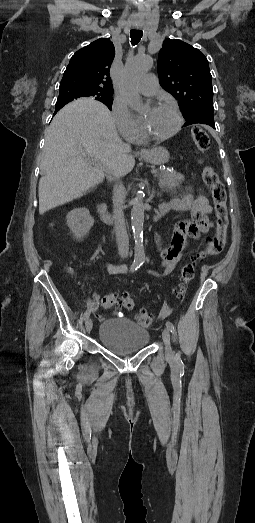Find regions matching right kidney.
I'll return each mask as SVG.
<instances>
[{
  "label": "right kidney",
  "mask_w": 255,
  "mask_h": 523,
  "mask_svg": "<svg viewBox=\"0 0 255 523\" xmlns=\"http://www.w3.org/2000/svg\"><path fill=\"white\" fill-rule=\"evenodd\" d=\"M67 226L74 234L76 240H82L91 230L94 220L91 218L87 208H75L66 216Z\"/></svg>",
  "instance_id": "ca27d5eb"
}]
</instances>
